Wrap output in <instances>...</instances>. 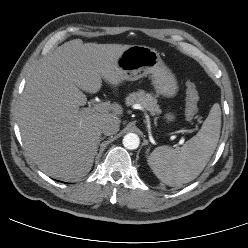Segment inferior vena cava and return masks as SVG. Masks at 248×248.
Masks as SVG:
<instances>
[{"label":"inferior vena cava","mask_w":248,"mask_h":248,"mask_svg":"<svg viewBox=\"0 0 248 248\" xmlns=\"http://www.w3.org/2000/svg\"><path fill=\"white\" fill-rule=\"evenodd\" d=\"M119 123L113 119L106 120L101 125V131L104 135L110 136L119 131Z\"/></svg>","instance_id":"602c4592"}]
</instances>
